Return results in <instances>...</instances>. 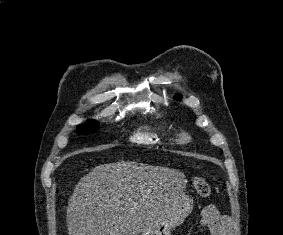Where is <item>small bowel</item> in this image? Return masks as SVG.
<instances>
[{
  "label": "small bowel",
  "mask_w": 283,
  "mask_h": 235,
  "mask_svg": "<svg viewBox=\"0 0 283 235\" xmlns=\"http://www.w3.org/2000/svg\"><path fill=\"white\" fill-rule=\"evenodd\" d=\"M201 221L211 235H228L229 222L224 216L219 214L213 205H207L203 208Z\"/></svg>",
  "instance_id": "small-bowel-1"
}]
</instances>
